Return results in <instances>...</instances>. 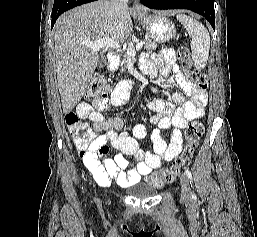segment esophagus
Returning <instances> with one entry per match:
<instances>
[{
	"label": "esophagus",
	"instance_id": "1",
	"mask_svg": "<svg viewBox=\"0 0 257 237\" xmlns=\"http://www.w3.org/2000/svg\"><path fill=\"white\" fill-rule=\"evenodd\" d=\"M132 10L138 13L145 11L144 7L137 1L134 2Z\"/></svg>",
	"mask_w": 257,
	"mask_h": 237
}]
</instances>
